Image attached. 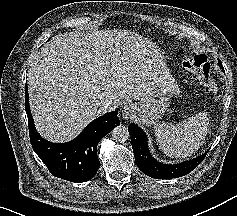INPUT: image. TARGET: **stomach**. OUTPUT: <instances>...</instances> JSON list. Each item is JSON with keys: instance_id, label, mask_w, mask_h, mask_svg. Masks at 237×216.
Returning a JSON list of instances; mask_svg holds the SVG:
<instances>
[{"instance_id": "1", "label": "stomach", "mask_w": 237, "mask_h": 216, "mask_svg": "<svg viewBox=\"0 0 237 216\" xmlns=\"http://www.w3.org/2000/svg\"><path fill=\"white\" fill-rule=\"evenodd\" d=\"M168 90L156 87L151 94L135 103V117L144 125H152L161 119L170 105Z\"/></svg>"}]
</instances>
